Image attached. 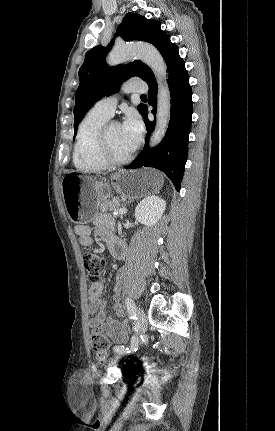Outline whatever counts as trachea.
<instances>
[{
    "label": "trachea",
    "mask_w": 275,
    "mask_h": 431,
    "mask_svg": "<svg viewBox=\"0 0 275 431\" xmlns=\"http://www.w3.org/2000/svg\"><path fill=\"white\" fill-rule=\"evenodd\" d=\"M141 97L144 98V97H147V96L143 94V95H141Z\"/></svg>",
    "instance_id": "1"
}]
</instances>
